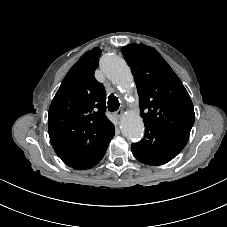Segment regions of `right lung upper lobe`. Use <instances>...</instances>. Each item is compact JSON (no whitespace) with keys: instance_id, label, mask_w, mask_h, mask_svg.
<instances>
[{"instance_id":"obj_1","label":"right lung upper lobe","mask_w":227,"mask_h":227,"mask_svg":"<svg viewBox=\"0 0 227 227\" xmlns=\"http://www.w3.org/2000/svg\"><path fill=\"white\" fill-rule=\"evenodd\" d=\"M101 50L83 54L68 71L48 113L51 144L74 167L96 158L108 145L114 125L105 116V89L95 77Z\"/></svg>"}]
</instances>
